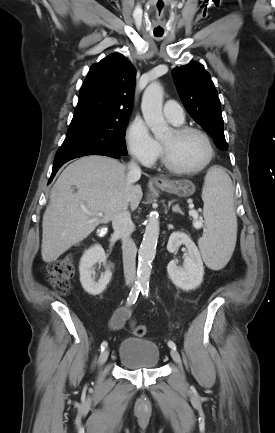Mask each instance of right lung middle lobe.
Segmentation results:
<instances>
[{
    "mask_svg": "<svg viewBox=\"0 0 275 433\" xmlns=\"http://www.w3.org/2000/svg\"><path fill=\"white\" fill-rule=\"evenodd\" d=\"M129 118H81L74 119L67 136L58 149L55 159L95 151H111L127 155L124 133Z\"/></svg>",
    "mask_w": 275,
    "mask_h": 433,
    "instance_id": "1",
    "label": "right lung middle lobe"
}]
</instances>
